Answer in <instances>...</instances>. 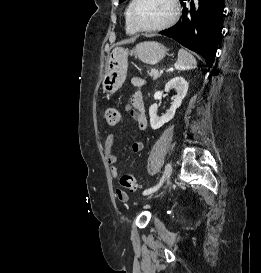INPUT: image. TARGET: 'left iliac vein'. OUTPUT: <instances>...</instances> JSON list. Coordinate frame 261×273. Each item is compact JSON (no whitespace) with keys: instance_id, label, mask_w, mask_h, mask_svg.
<instances>
[{"instance_id":"left-iliac-vein-1","label":"left iliac vein","mask_w":261,"mask_h":273,"mask_svg":"<svg viewBox=\"0 0 261 273\" xmlns=\"http://www.w3.org/2000/svg\"><path fill=\"white\" fill-rule=\"evenodd\" d=\"M171 174H172V165L170 163H168L165 166V170H164V174H163V177H162L161 184L164 183L165 181H167L170 178Z\"/></svg>"}]
</instances>
